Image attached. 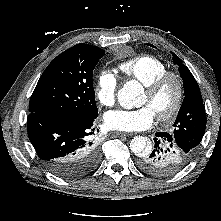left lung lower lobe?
I'll return each mask as SVG.
<instances>
[{
	"instance_id": "left-lung-lower-lobe-1",
	"label": "left lung lower lobe",
	"mask_w": 221,
	"mask_h": 221,
	"mask_svg": "<svg viewBox=\"0 0 221 221\" xmlns=\"http://www.w3.org/2000/svg\"><path fill=\"white\" fill-rule=\"evenodd\" d=\"M154 149L139 159L138 166L154 176L176 174L192 160L194 154L187 152L172 133L157 132Z\"/></svg>"
}]
</instances>
